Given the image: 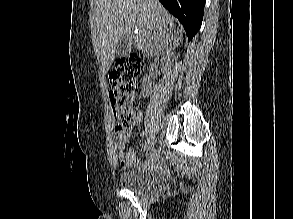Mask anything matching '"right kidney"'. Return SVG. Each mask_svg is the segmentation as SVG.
I'll use <instances>...</instances> for the list:
<instances>
[{"label":"right kidney","mask_w":293,"mask_h":219,"mask_svg":"<svg viewBox=\"0 0 293 219\" xmlns=\"http://www.w3.org/2000/svg\"><path fill=\"white\" fill-rule=\"evenodd\" d=\"M170 63H171V56L170 55H166L161 59V65L164 70L167 67H169ZM141 88H142V93L145 95H147L149 93V91L151 90L152 82H151L150 78L148 77V75L144 76Z\"/></svg>","instance_id":"1"}]
</instances>
